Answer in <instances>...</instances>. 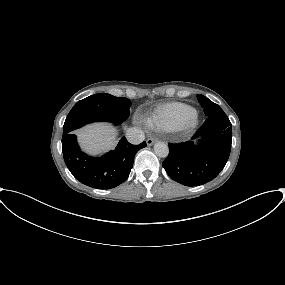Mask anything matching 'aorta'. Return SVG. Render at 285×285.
I'll use <instances>...</instances> for the list:
<instances>
[{
  "label": "aorta",
  "instance_id": "1",
  "mask_svg": "<svg viewBox=\"0 0 285 285\" xmlns=\"http://www.w3.org/2000/svg\"><path fill=\"white\" fill-rule=\"evenodd\" d=\"M154 152L157 156L161 158H165L169 154V148L168 145L164 142H156L154 144Z\"/></svg>",
  "mask_w": 285,
  "mask_h": 285
}]
</instances>
